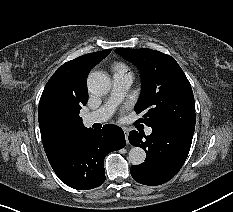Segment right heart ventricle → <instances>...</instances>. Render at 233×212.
I'll return each mask as SVG.
<instances>
[{"label":"right heart ventricle","instance_id":"right-heart-ventricle-1","mask_svg":"<svg viewBox=\"0 0 233 212\" xmlns=\"http://www.w3.org/2000/svg\"><path fill=\"white\" fill-rule=\"evenodd\" d=\"M116 72H127V67L122 63H117L114 66Z\"/></svg>","mask_w":233,"mask_h":212}]
</instances>
